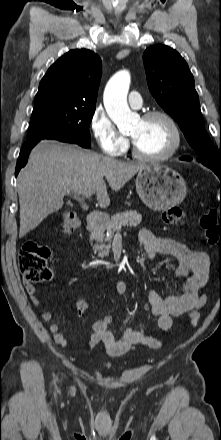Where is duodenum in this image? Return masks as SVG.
<instances>
[{"label": "duodenum", "instance_id": "410a0bca", "mask_svg": "<svg viewBox=\"0 0 221 440\" xmlns=\"http://www.w3.org/2000/svg\"><path fill=\"white\" fill-rule=\"evenodd\" d=\"M105 219V216L98 212L90 213L86 221L87 230L91 231L99 228V226L105 221Z\"/></svg>", "mask_w": 221, "mask_h": 440}]
</instances>
